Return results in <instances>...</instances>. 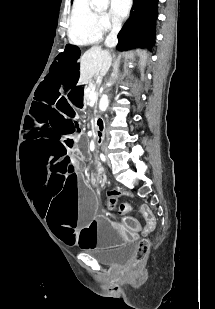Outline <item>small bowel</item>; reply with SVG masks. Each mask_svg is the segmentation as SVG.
Instances as JSON below:
<instances>
[{
    "label": "small bowel",
    "mask_w": 215,
    "mask_h": 309,
    "mask_svg": "<svg viewBox=\"0 0 215 309\" xmlns=\"http://www.w3.org/2000/svg\"><path fill=\"white\" fill-rule=\"evenodd\" d=\"M145 217L149 225L148 229H151L154 226L155 218L151 212H149Z\"/></svg>",
    "instance_id": "1"
}]
</instances>
